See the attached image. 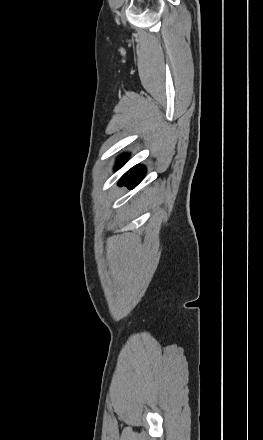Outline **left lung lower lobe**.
Listing matches in <instances>:
<instances>
[{
	"mask_svg": "<svg viewBox=\"0 0 263 440\" xmlns=\"http://www.w3.org/2000/svg\"><path fill=\"white\" fill-rule=\"evenodd\" d=\"M126 159L127 156H122L121 158H119L116 167L118 168L122 166V164L125 162ZM144 175H145V168L143 166H139V165L134 166L122 176V178L119 181V185H125L128 186V188L132 189L140 183Z\"/></svg>",
	"mask_w": 263,
	"mask_h": 440,
	"instance_id": "1",
	"label": "left lung lower lobe"
}]
</instances>
